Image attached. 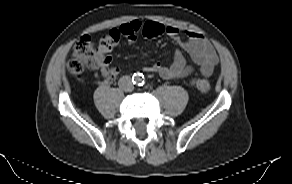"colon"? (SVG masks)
I'll return each mask as SVG.
<instances>
[{
	"label": "colon",
	"instance_id": "obj_1",
	"mask_svg": "<svg viewBox=\"0 0 292 184\" xmlns=\"http://www.w3.org/2000/svg\"><path fill=\"white\" fill-rule=\"evenodd\" d=\"M142 34L146 39H154L163 34V27L158 22L147 21L144 23ZM120 37L119 30L112 29L100 39L96 46L89 36H82L74 44L73 56L68 63L70 73L81 78L85 69L94 67L96 52L112 50L119 43ZM191 84L201 92H207L210 89L207 79L196 78L192 80Z\"/></svg>",
	"mask_w": 292,
	"mask_h": 184
}]
</instances>
